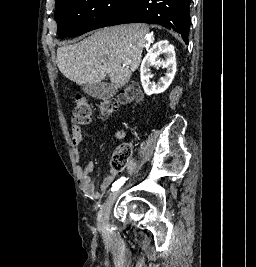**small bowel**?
<instances>
[{
	"mask_svg": "<svg viewBox=\"0 0 256 267\" xmlns=\"http://www.w3.org/2000/svg\"><path fill=\"white\" fill-rule=\"evenodd\" d=\"M71 133H72V145L75 150V160L77 163H79L80 160L79 149L83 144V135L80 126L74 123L71 127ZM114 140H122V137H114ZM93 170H94V165L92 161L88 160L85 166L78 165L77 175L80 187L82 191L85 193V195L92 200H98L101 198L102 195L101 192L107 190L114 183L118 175V171L115 169H111L108 175L103 179L100 186V191H98L95 189L92 179L90 177V174Z\"/></svg>",
	"mask_w": 256,
	"mask_h": 267,
	"instance_id": "obj_1",
	"label": "small bowel"
}]
</instances>
